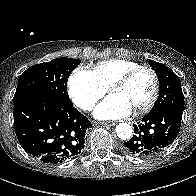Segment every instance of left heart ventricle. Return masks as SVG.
I'll use <instances>...</instances> for the list:
<instances>
[{
	"label": "left heart ventricle",
	"mask_w": 196,
	"mask_h": 196,
	"mask_svg": "<svg viewBox=\"0 0 196 196\" xmlns=\"http://www.w3.org/2000/svg\"><path fill=\"white\" fill-rule=\"evenodd\" d=\"M153 85L151 73L142 71L127 85L112 91L111 95L117 96L127 103L132 110H135L149 100L153 91Z\"/></svg>",
	"instance_id": "obj_1"
}]
</instances>
